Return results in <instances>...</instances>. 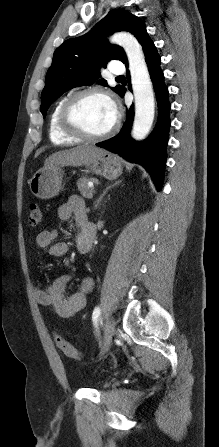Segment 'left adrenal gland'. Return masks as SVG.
Returning <instances> with one entry per match:
<instances>
[{"instance_id": "a2214340", "label": "left adrenal gland", "mask_w": 219, "mask_h": 447, "mask_svg": "<svg viewBox=\"0 0 219 447\" xmlns=\"http://www.w3.org/2000/svg\"><path fill=\"white\" fill-rule=\"evenodd\" d=\"M121 182H122L121 180H118L115 183L108 185L106 189L103 191V193L100 195V197L94 202V209L99 208V206L103 201L104 196L108 193V191L114 188L115 186L119 185Z\"/></svg>"}]
</instances>
